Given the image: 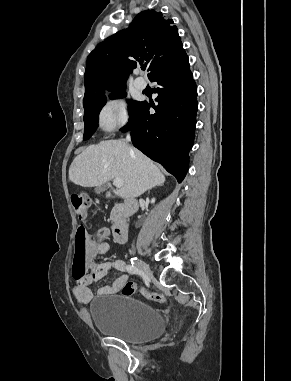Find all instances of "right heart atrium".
<instances>
[{
    "instance_id": "right-heart-atrium-1",
    "label": "right heart atrium",
    "mask_w": 291,
    "mask_h": 381,
    "mask_svg": "<svg viewBox=\"0 0 291 381\" xmlns=\"http://www.w3.org/2000/svg\"><path fill=\"white\" fill-rule=\"evenodd\" d=\"M130 120L127 103L122 98L108 100L98 115V124L104 131H113Z\"/></svg>"
}]
</instances>
